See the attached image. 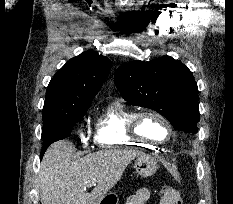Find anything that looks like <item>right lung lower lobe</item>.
<instances>
[{"label": "right lung lower lobe", "mask_w": 233, "mask_h": 204, "mask_svg": "<svg viewBox=\"0 0 233 204\" xmlns=\"http://www.w3.org/2000/svg\"><path fill=\"white\" fill-rule=\"evenodd\" d=\"M47 148H48V147H47ZM47 148H43V149H42L41 158L43 157V155H44V153H45V151H46Z\"/></svg>", "instance_id": "obj_1"}]
</instances>
